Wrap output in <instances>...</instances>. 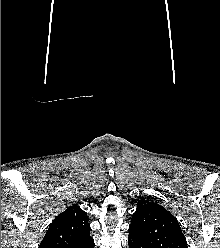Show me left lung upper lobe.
<instances>
[{
	"label": "left lung upper lobe",
	"mask_w": 220,
	"mask_h": 248,
	"mask_svg": "<svg viewBox=\"0 0 220 248\" xmlns=\"http://www.w3.org/2000/svg\"><path fill=\"white\" fill-rule=\"evenodd\" d=\"M129 231L151 248H188L177 219L149 199L139 201Z\"/></svg>",
	"instance_id": "obj_1"
}]
</instances>
